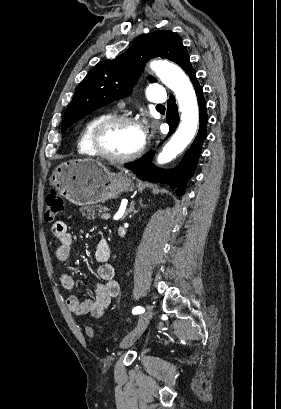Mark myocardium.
Instances as JSON below:
<instances>
[{
  "mask_svg": "<svg viewBox=\"0 0 281 409\" xmlns=\"http://www.w3.org/2000/svg\"><path fill=\"white\" fill-rule=\"evenodd\" d=\"M121 123L134 126L138 128L140 131H142L141 125L136 119L126 116V115H112L102 120L98 124L95 130V134H94V145H95V149L97 153L99 154V156H101L102 158L108 161L115 162V163H125V162H130V161L137 159L143 154L145 150V145H146V141L145 139H143L142 144L136 151L130 154L124 155V156L111 155L104 147V136L109 128H111L112 126L116 124H121Z\"/></svg>",
  "mask_w": 281,
  "mask_h": 409,
  "instance_id": "f54148a6",
  "label": "myocardium"
}]
</instances>
